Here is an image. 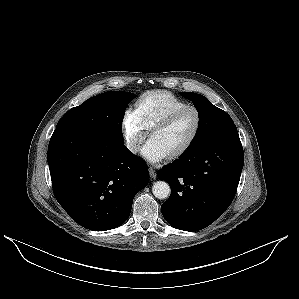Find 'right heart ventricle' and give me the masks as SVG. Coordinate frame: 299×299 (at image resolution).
<instances>
[{
    "mask_svg": "<svg viewBox=\"0 0 299 299\" xmlns=\"http://www.w3.org/2000/svg\"><path fill=\"white\" fill-rule=\"evenodd\" d=\"M188 106L182 99L168 91H150L136 102L135 111L147 129L172 112Z\"/></svg>",
    "mask_w": 299,
    "mask_h": 299,
    "instance_id": "obj_1",
    "label": "right heart ventricle"
}]
</instances>
